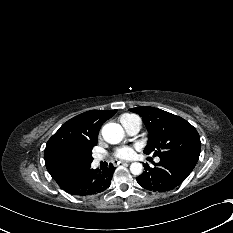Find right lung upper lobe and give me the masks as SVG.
I'll use <instances>...</instances> for the list:
<instances>
[{
  "mask_svg": "<svg viewBox=\"0 0 233 233\" xmlns=\"http://www.w3.org/2000/svg\"><path fill=\"white\" fill-rule=\"evenodd\" d=\"M117 110H91L65 122L47 142L44 159L48 172L60 187L81 171L76 160L97 144L101 125Z\"/></svg>",
  "mask_w": 233,
  "mask_h": 233,
  "instance_id": "cb5924a9",
  "label": "right lung upper lobe"
}]
</instances>
